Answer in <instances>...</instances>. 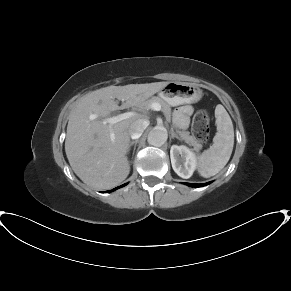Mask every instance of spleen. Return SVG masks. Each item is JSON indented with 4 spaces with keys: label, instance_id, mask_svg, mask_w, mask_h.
Masks as SVG:
<instances>
[{
    "label": "spleen",
    "instance_id": "obj_1",
    "mask_svg": "<svg viewBox=\"0 0 291 291\" xmlns=\"http://www.w3.org/2000/svg\"><path fill=\"white\" fill-rule=\"evenodd\" d=\"M217 133L213 144L198 155V171L204 178L219 173L228 163L234 146V128L225 108L218 104L215 109Z\"/></svg>",
    "mask_w": 291,
    "mask_h": 291
}]
</instances>
